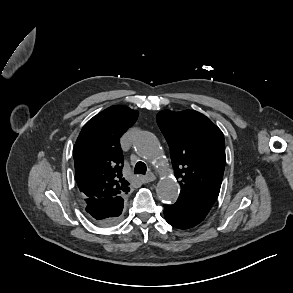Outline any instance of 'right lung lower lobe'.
Masks as SVG:
<instances>
[{"instance_id":"obj_1","label":"right lung lower lobe","mask_w":293,"mask_h":293,"mask_svg":"<svg viewBox=\"0 0 293 293\" xmlns=\"http://www.w3.org/2000/svg\"><path fill=\"white\" fill-rule=\"evenodd\" d=\"M124 199L122 196L103 199L85 200V210L88 217L101 225H113L122 213Z\"/></svg>"}]
</instances>
